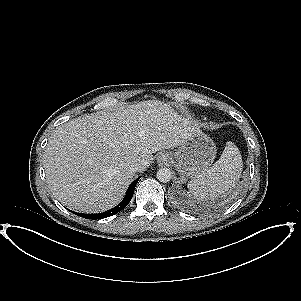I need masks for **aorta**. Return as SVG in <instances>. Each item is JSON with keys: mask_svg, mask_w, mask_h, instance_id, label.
Masks as SVG:
<instances>
[{"mask_svg": "<svg viewBox=\"0 0 301 301\" xmlns=\"http://www.w3.org/2000/svg\"><path fill=\"white\" fill-rule=\"evenodd\" d=\"M156 178L163 183H167L172 178V173L168 168H161L156 173Z\"/></svg>", "mask_w": 301, "mask_h": 301, "instance_id": "1", "label": "aorta"}]
</instances>
